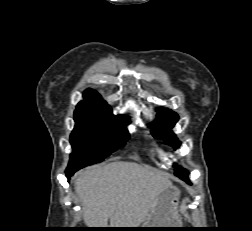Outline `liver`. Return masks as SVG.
<instances>
[{
    "label": "liver",
    "instance_id": "6515ba94",
    "mask_svg": "<svg viewBox=\"0 0 252 231\" xmlns=\"http://www.w3.org/2000/svg\"><path fill=\"white\" fill-rule=\"evenodd\" d=\"M171 181L156 170L135 162H111L82 171L75 191L83 204L89 228H137L155 207Z\"/></svg>",
    "mask_w": 252,
    "mask_h": 231
}]
</instances>
